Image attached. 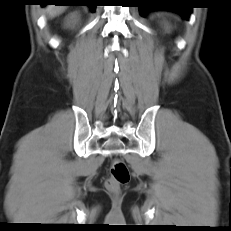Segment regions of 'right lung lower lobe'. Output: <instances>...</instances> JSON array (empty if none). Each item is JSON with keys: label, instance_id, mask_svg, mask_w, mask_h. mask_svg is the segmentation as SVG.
I'll list each match as a JSON object with an SVG mask.
<instances>
[{"label": "right lung lower lobe", "instance_id": "obj_1", "mask_svg": "<svg viewBox=\"0 0 231 231\" xmlns=\"http://www.w3.org/2000/svg\"><path fill=\"white\" fill-rule=\"evenodd\" d=\"M42 5L54 3L56 5H87L91 11H95V6L92 5L89 0H42Z\"/></svg>", "mask_w": 231, "mask_h": 231}]
</instances>
